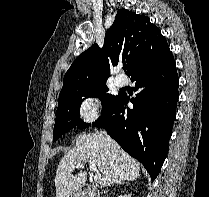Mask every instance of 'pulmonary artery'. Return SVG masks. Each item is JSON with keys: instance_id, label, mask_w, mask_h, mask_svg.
<instances>
[{"instance_id": "pulmonary-artery-1", "label": "pulmonary artery", "mask_w": 209, "mask_h": 197, "mask_svg": "<svg viewBox=\"0 0 209 197\" xmlns=\"http://www.w3.org/2000/svg\"><path fill=\"white\" fill-rule=\"evenodd\" d=\"M115 84H116L118 87H123V86L126 84V79L123 78V77H116V78H115Z\"/></svg>"}]
</instances>
